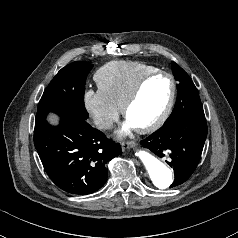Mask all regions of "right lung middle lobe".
<instances>
[{
	"label": "right lung middle lobe",
	"mask_w": 238,
	"mask_h": 238,
	"mask_svg": "<svg viewBox=\"0 0 238 238\" xmlns=\"http://www.w3.org/2000/svg\"><path fill=\"white\" fill-rule=\"evenodd\" d=\"M92 67L90 62H73L57 73L40 99L35 125L45 123L49 112L56 113L61 120L88 118L83 96L86 77Z\"/></svg>",
	"instance_id": "dd1d6c3e"
}]
</instances>
